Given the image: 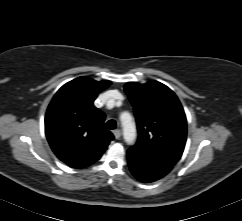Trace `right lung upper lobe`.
I'll use <instances>...</instances> for the list:
<instances>
[{
	"instance_id": "right-lung-upper-lobe-1",
	"label": "right lung upper lobe",
	"mask_w": 242,
	"mask_h": 221,
	"mask_svg": "<svg viewBox=\"0 0 242 221\" xmlns=\"http://www.w3.org/2000/svg\"><path fill=\"white\" fill-rule=\"evenodd\" d=\"M111 84L87 77L63 85L54 95L45 116V132L56 156L73 168L97 161L113 140L104 128L105 115L93 102Z\"/></svg>"
}]
</instances>
